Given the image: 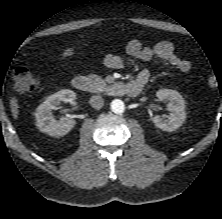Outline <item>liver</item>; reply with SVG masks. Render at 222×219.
I'll use <instances>...</instances> for the list:
<instances>
[{"label":"liver","instance_id":"liver-1","mask_svg":"<svg viewBox=\"0 0 222 219\" xmlns=\"http://www.w3.org/2000/svg\"><path fill=\"white\" fill-rule=\"evenodd\" d=\"M10 108L14 119L18 118L19 114V105L18 100L13 96L10 99Z\"/></svg>","mask_w":222,"mask_h":219}]
</instances>
